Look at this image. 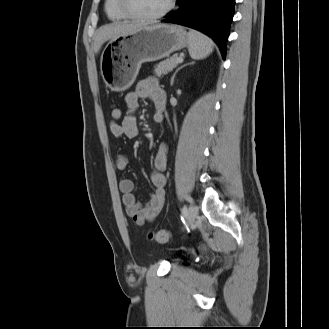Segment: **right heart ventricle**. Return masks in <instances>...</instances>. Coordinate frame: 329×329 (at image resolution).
<instances>
[{"mask_svg": "<svg viewBox=\"0 0 329 329\" xmlns=\"http://www.w3.org/2000/svg\"><path fill=\"white\" fill-rule=\"evenodd\" d=\"M105 12L107 17L112 21H122L127 19L118 6V0H106Z\"/></svg>", "mask_w": 329, "mask_h": 329, "instance_id": "1", "label": "right heart ventricle"}]
</instances>
